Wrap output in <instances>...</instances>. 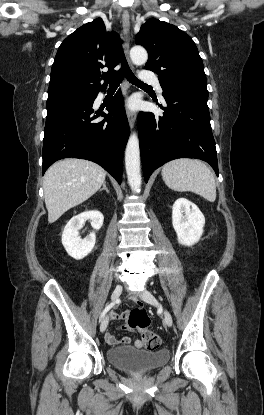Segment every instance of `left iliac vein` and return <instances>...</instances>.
<instances>
[{
	"label": "left iliac vein",
	"mask_w": 264,
	"mask_h": 415,
	"mask_svg": "<svg viewBox=\"0 0 264 415\" xmlns=\"http://www.w3.org/2000/svg\"><path fill=\"white\" fill-rule=\"evenodd\" d=\"M141 298H142L145 302L150 303V304H152V305H156V306H158V305H159L158 300H157V299L154 297V295H153L150 291H148V290H144V291L142 292V294H141ZM162 310H163V314H164V321H165V323L167 324V326L171 327V326H172V324H173V320H172V316H171L170 312H169L167 309H165V308H162Z\"/></svg>",
	"instance_id": "obj_1"
}]
</instances>
